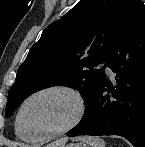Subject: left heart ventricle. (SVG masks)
Returning <instances> with one entry per match:
<instances>
[{
    "instance_id": "b2bd125f",
    "label": "left heart ventricle",
    "mask_w": 145,
    "mask_h": 147,
    "mask_svg": "<svg viewBox=\"0 0 145 147\" xmlns=\"http://www.w3.org/2000/svg\"><path fill=\"white\" fill-rule=\"evenodd\" d=\"M74 99L61 92L40 95L31 100L21 117V131L27 135L46 133L67 125L76 113Z\"/></svg>"
}]
</instances>
